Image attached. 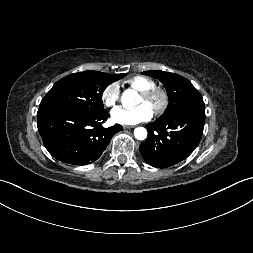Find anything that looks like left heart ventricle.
Instances as JSON below:
<instances>
[{"label": "left heart ventricle", "mask_w": 253, "mask_h": 253, "mask_svg": "<svg viewBox=\"0 0 253 253\" xmlns=\"http://www.w3.org/2000/svg\"><path fill=\"white\" fill-rule=\"evenodd\" d=\"M138 104H147L148 106H150L151 107V104H149L148 102H146L145 100H144V98L140 95L139 96V98H138V102H137ZM152 108V107H151Z\"/></svg>", "instance_id": "b2bd125f"}]
</instances>
